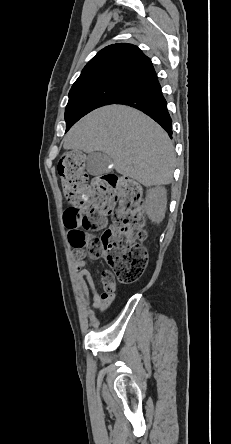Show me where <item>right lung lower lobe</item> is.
<instances>
[{
    "label": "right lung lower lobe",
    "mask_w": 231,
    "mask_h": 444,
    "mask_svg": "<svg viewBox=\"0 0 231 444\" xmlns=\"http://www.w3.org/2000/svg\"><path fill=\"white\" fill-rule=\"evenodd\" d=\"M114 104H125L141 110L160 124L172 138V120L157 78L133 88Z\"/></svg>",
    "instance_id": "right-lung-lower-lobe-1"
}]
</instances>
